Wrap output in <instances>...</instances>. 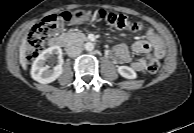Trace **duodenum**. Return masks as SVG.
<instances>
[{
    "mask_svg": "<svg viewBox=\"0 0 194 133\" xmlns=\"http://www.w3.org/2000/svg\"><path fill=\"white\" fill-rule=\"evenodd\" d=\"M74 41L76 43L80 42L81 44H85L87 42V39L85 37H83V36H80V37L76 36L74 38ZM64 45H65V39L63 37H61V36L55 37L51 41V46H53V47H62Z\"/></svg>",
    "mask_w": 194,
    "mask_h": 133,
    "instance_id": "1",
    "label": "duodenum"
}]
</instances>
